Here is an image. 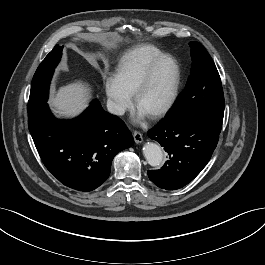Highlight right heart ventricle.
I'll use <instances>...</instances> for the list:
<instances>
[{
	"mask_svg": "<svg viewBox=\"0 0 265 265\" xmlns=\"http://www.w3.org/2000/svg\"><path fill=\"white\" fill-rule=\"evenodd\" d=\"M162 54L163 52L154 45H137L124 53L112 77L124 93L132 96L149 64Z\"/></svg>",
	"mask_w": 265,
	"mask_h": 265,
	"instance_id": "1",
	"label": "right heart ventricle"
}]
</instances>
